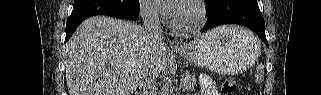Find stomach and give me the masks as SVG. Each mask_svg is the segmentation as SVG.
Instances as JSON below:
<instances>
[{"label": "stomach", "instance_id": "obj_1", "mask_svg": "<svg viewBox=\"0 0 321 95\" xmlns=\"http://www.w3.org/2000/svg\"><path fill=\"white\" fill-rule=\"evenodd\" d=\"M174 51L196 66L232 75L255 62L260 45L251 32L230 26L227 30L213 29Z\"/></svg>", "mask_w": 321, "mask_h": 95}]
</instances>
